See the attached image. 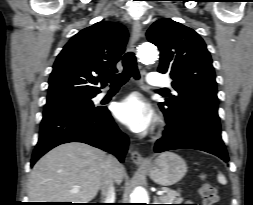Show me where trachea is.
Segmentation results:
<instances>
[{"label": "trachea", "instance_id": "3493384b", "mask_svg": "<svg viewBox=\"0 0 253 205\" xmlns=\"http://www.w3.org/2000/svg\"><path fill=\"white\" fill-rule=\"evenodd\" d=\"M123 67L122 73L116 75H108L105 80L111 84L112 88H119L124 85L130 77L136 80L140 79V74L137 68L136 58L133 52H127L123 57ZM161 91H166L165 89H160Z\"/></svg>", "mask_w": 253, "mask_h": 205}]
</instances>
